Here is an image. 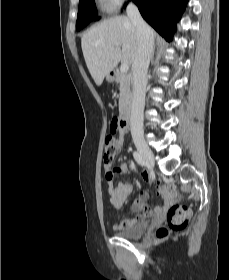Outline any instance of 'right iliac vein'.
Instances as JSON below:
<instances>
[{
	"label": "right iliac vein",
	"instance_id": "63e3f726",
	"mask_svg": "<svg viewBox=\"0 0 229 280\" xmlns=\"http://www.w3.org/2000/svg\"><path fill=\"white\" fill-rule=\"evenodd\" d=\"M135 146L141 156L145 159V161L151 165L154 166V155L149 148V146L141 139H135L134 140Z\"/></svg>",
	"mask_w": 229,
	"mask_h": 280
}]
</instances>
